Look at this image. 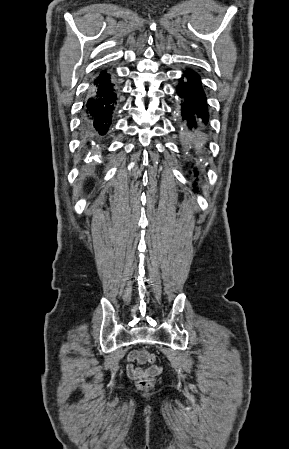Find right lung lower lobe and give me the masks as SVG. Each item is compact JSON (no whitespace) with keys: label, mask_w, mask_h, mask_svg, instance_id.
<instances>
[{"label":"right lung lower lobe","mask_w":289,"mask_h":449,"mask_svg":"<svg viewBox=\"0 0 289 449\" xmlns=\"http://www.w3.org/2000/svg\"><path fill=\"white\" fill-rule=\"evenodd\" d=\"M117 98L110 75L101 71L95 79L85 106L83 127L91 138L105 136L112 122Z\"/></svg>","instance_id":"right-lung-lower-lobe-1"}]
</instances>
